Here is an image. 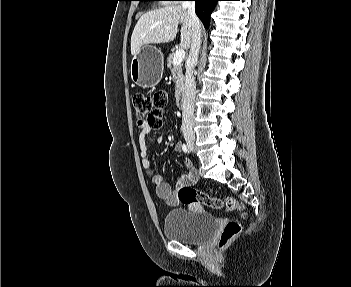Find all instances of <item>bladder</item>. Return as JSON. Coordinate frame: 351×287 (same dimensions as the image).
<instances>
[{"label":"bladder","instance_id":"1","mask_svg":"<svg viewBox=\"0 0 351 287\" xmlns=\"http://www.w3.org/2000/svg\"><path fill=\"white\" fill-rule=\"evenodd\" d=\"M218 226V220L210 212L199 215L198 211L176 209L168 212L163 232L166 238L188 245H198L210 239Z\"/></svg>","mask_w":351,"mask_h":287}]
</instances>
